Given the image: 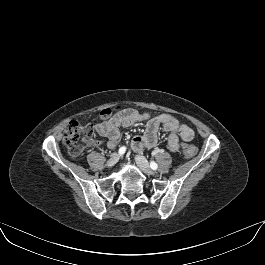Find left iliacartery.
Wrapping results in <instances>:
<instances>
[{"instance_id": "44dca946", "label": "left iliac artery", "mask_w": 265, "mask_h": 265, "mask_svg": "<svg viewBox=\"0 0 265 265\" xmlns=\"http://www.w3.org/2000/svg\"><path fill=\"white\" fill-rule=\"evenodd\" d=\"M150 167L153 169V170H156L158 168V165L157 163H155L154 161H151L150 162Z\"/></svg>"}]
</instances>
